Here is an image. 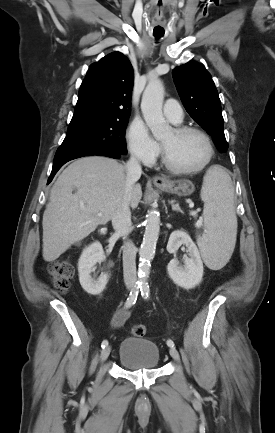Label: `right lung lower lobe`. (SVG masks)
Returning <instances> with one entry per match:
<instances>
[{"mask_svg": "<svg viewBox=\"0 0 275 433\" xmlns=\"http://www.w3.org/2000/svg\"><path fill=\"white\" fill-rule=\"evenodd\" d=\"M91 155L107 156V157H111L114 159H119L122 154L117 153L115 151H111V150H95V151H90V152H85V153L69 154V155H64V156H60V157H55L54 162H53L52 172H51V175L48 179L47 184H49L52 181L54 175L57 173V171L66 162L73 160V159H76V158H80V157H84V156H91Z\"/></svg>", "mask_w": 275, "mask_h": 433, "instance_id": "1", "label": "right lung lower lobe"}]
</instances>
